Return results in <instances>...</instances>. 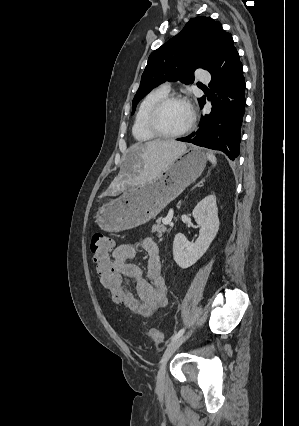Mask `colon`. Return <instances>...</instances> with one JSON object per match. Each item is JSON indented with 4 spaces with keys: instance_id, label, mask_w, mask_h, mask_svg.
Instances as JSON below:
<instances>
[{
    "instance_id": "obj_1",
    "label": "colon",
    "mask_w": 299,
    "mask_h": 426,
    "mask_svg": "<svg viewBox=\"0 0 299 426\" xmlns=\"http://www.w3.org/2000/svg\"><path fill=\"white\" fill-rule=\"evenodd\" d=\"M113 246V240L106 234L95 233L91 238L90 250L100 283L115 303L123 304L125 288L121 276L116 272L111 262ZM148 334L155 344L164 341L163 333L158 329L151 328Z\"/></svg>"
}]
</instances>
